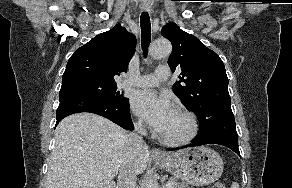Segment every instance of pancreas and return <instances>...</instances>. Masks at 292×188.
<instances>
[{
  "mask_svg": "<svg viewBox=\"0 0 292 188\" xmlns=\"http://www.w3.org/2000/svg\"><path fill=\"white\" fill-rule=\"evenodd\" d=\"M170 180H173L175 183L172 188H189L188 183L186 182H177L175 178H170Z\"/></svg>",
  "mask_w": 292,
  "mask_h": 188,
  "instance_id": "pancreas-1",
  "label": "pancreas"
}]
</instances>
